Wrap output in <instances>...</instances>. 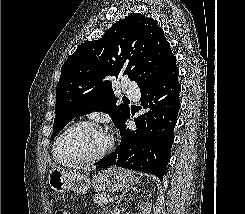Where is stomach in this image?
<instances>
[{"mask_svg":"<svg viewBox=\"0 0 245 214\" xmlns=\"http://www.w3.org/2000/svg\"><path fill=\"white\" fill-rule=\"evenodd\" d=\"M135 182L131 172L112 167L100 171L92 179V187L97 192H116L128 188ZM47 183L56 193L72 190L77 194H84L90 187V179L87 175L76 171H64L52 168L49 171Z\"/></svg>","mask_w":245,"mask_h":214,"instance_id":"obj_1","label":"stomach"}]
</instances>
